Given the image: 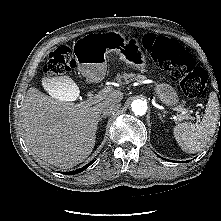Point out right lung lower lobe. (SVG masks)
Listing matches in <instances>:
<instances>
[{
	"label": "right lung lower lobe",
	"instance_id": "1",
	"mask_svg": "<svg viewBox=\"0 0 221 221\" xmlns=\"http://www.w3.org/2000/svg\"><path fill=\"white\" fill-rule=\"evenodd\" d=\"M95 160L91 161L89 164L85 165L84 167L82 168H79L75 171H70V172H66L65 174H69V175H73V174H77V173H80L82 172L83 170H85L88 166H90Z\"/></svg>",
	"mask_w": 221,
	"mask_h": 221
}]
</instances>
